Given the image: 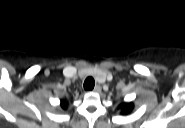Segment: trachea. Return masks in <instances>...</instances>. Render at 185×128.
<instances>
[{"mask_svg": "<svg viewBox=\"0 0 185 128\" xmlns=\"http://www.w3.org/2000/svg\"><path fill=\"white\" fill-rule=\"evenodd\" d=\"M95 86V80L93 77H87L84 81V89L85 90H92Z\"/></svg>", "mask_w": 185, "mask_h": 128, "instance_id": "3493384b", "label": "trachea"}]
</instances>
